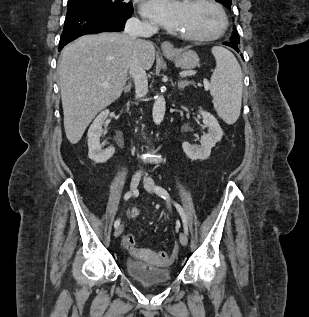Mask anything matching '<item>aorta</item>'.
<instances>
[{"mask_svg":"<svg viewBox=\"0 0 309 317\" xmlns=\"http://www.w3.org/2000/svg\"><path fill=\"white\" fill-rule=\"evenodd\" d=\"M165 110H166V102L163 96H157L153 105V111H152V116H153V121L155 124L159 125L165 115Z\"/></svg>","mask_w":309,"mask_h":317,"instance_id":"762f6f07","label":"aorta"}]
</instances>
